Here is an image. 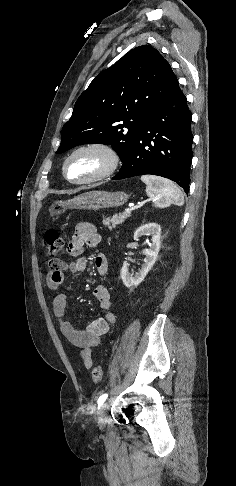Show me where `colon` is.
<instances>
[{"instance_id": "5ec220e1", "label": "colon", "mask_w": 236, "mask_h": 486, "mask_svg": "<svg viewBox=\"0 0 236 486\" xmlns=\"http://www.w3.org/2000/svg\"><path fill=\"white\" fill-rule=\"evenodd\" d=\"M44 244L47 254L51 258H56L64 249V239L56 230H49L44 235ZM103 378V369L100 365H96L92 370V380L95 383L101 382Z\"/></svg>"}]
</instances>
